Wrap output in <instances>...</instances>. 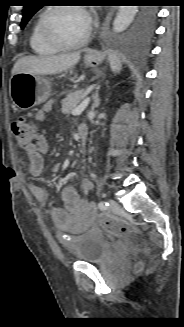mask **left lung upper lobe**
<instances>
[{"instance_id": "1", "label": "left lung upper lobe", "mask_w": 184, "mask_h": 327, "mask_svg": "<svg viewBox=\"0 0 184 327\" xmlns=\"http://www.w3.org/2000/svg\"><path fill=\"white\" fill-rule=\"evenodd\" d=\"M40 0H27L23 8L21 29L25 27L30 18L41 8Z\"/></svg>"}]
</instances>
